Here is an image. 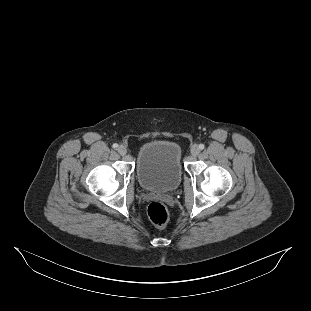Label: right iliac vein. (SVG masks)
Returning <instances> with one entry per match:
<instances>
[{"instance_id": "63e3f726", "label": "right iliac vein", "mask_w": 311, "mask_h": 311, "mask_svg": "<svg viewBox=\"0 0 311 311\" xmlns=\"http://www.w3.org/2000/svg\"><path fill=\"white\" fill-rule=\"evenodd\" d=\"M117 151H118V153H119L120 155H125L126 152H127V149H126V147H124L123 145H120V146L118 147Z\"/></svg>"}]
</instances>
